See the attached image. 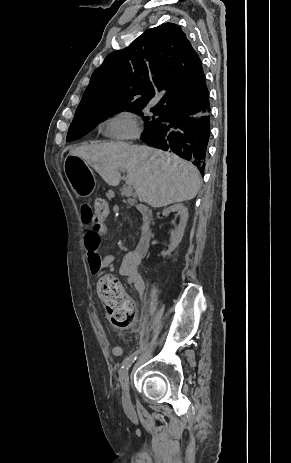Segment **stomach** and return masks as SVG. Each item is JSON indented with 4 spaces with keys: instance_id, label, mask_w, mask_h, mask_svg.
<instances>
[{
    "instance_id": "obj_1",
    "label": "stomach",
    "mask_w": 291,
    "mask_h": 463,
    "mask_svg": "<svg viewBox=\"0 0 291 463\" xmlns=\"http://www.w3.org/2000/svg\"><path fill=\"white\" fill-rule=\"evenodd\" d=\"M65 171L74 193L79 197L89 196L96 181L89 162L76 156H68L65 161Z\"/></svg>"
}]
</instances>
